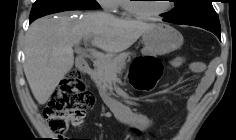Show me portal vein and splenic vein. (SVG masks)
Returning <instances> with one entry per match:
<instances>
[{
	"label": "portal vein and splenic vein",
	"mask_w": 236,
	"mask_h": 140,
	"mask_svg": "<svg viewBox=\"0 0 236 140\" xmlns=\"http://www.w3.org/2000/svg\"><path fill=\"white\" fill-rule=\"evenodd\" d=\"M88 39H90V37H86L85 40L87 41ZM91 55L94 59H96L97 61H101L104 62L106 60V58L104 56H102L100 53L97 52H91Z\"/></svg>",
	"instance_id": "18ae733b"
}]
</instances>
